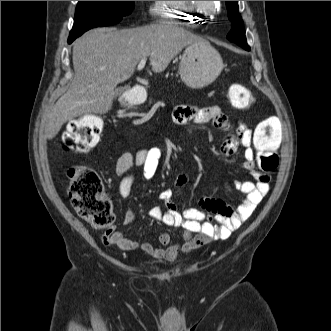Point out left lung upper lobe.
Wrapping results in <instances>:
<instances>
[{"label": "left lung upper lobe", "mask_w": 331, "mask_h": 331, "mask_svg": "<svg viewBox=\"0 0 331 331\" xmlns=\"http://www.w3.org/2000/svg\"><path fill=\"white\" fill-rule=\"evenodd\" d=\"M226 6L228 9L229 20L232 22V30L228 33L227 39L238 44L244 49L250 50V47L246 42L243 21L238 14V1H226Z\"/></svg>", "instance_id": "1"}]
</instances>
